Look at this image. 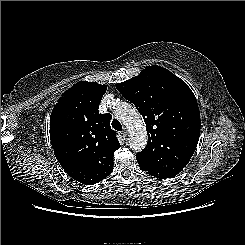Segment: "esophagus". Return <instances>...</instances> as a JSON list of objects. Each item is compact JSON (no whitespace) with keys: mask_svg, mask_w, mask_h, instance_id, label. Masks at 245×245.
Masks as SVG:
<instances>
[{"mask_svg":"<svg viewBox=\"0 0 245 245\" xmlns=\"http://www.w3.org/2000/svg\"><path fill=\"white\" fill-rule=\"evenodd\" d=\"M121 134L123 135L124 138H127V136H128V131H127V129L124 128Z\"/></svg>","mask_w":245,"mask_h":245,"instance_id":"obj_1","label":"esophagus"}]
</instances>
